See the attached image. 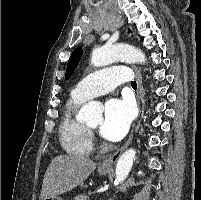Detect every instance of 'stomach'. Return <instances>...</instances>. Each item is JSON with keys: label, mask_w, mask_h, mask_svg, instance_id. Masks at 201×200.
Here are the masks:
<instances>
[{"label": "stomach", "mask_w": 201, "mask_h": 200, "mask_svg": "<svg viewBox=\"0 0 201 200\" xmlns=\"http://www.w3.org/2000/svg\"><path fill=\"white\" fill-rule=\"evenodd\" d=\"M98 171H99L100 175H105L109 172L108 169H99ZM44 200H63V199L58 196H53V197L45 198Z\"/></svg>", "instance_id": "0dacf381"}]
</instances>
